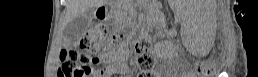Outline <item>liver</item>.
<instances>
[{"label":"liver","instance_id":"1","mask_svg":"<svg viewBox=\"0 0 258 77\" xmlns=\"http://www.w3.org/2000/svg\"><path fill=\"white\" fill-rule=\"evenodd\" d=\"M108 0H66V25L74 18L84 15L93 8L101 7Z\"/></svg>","mask_w":258,"mask_h":77}]
</instances>
